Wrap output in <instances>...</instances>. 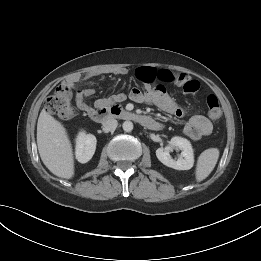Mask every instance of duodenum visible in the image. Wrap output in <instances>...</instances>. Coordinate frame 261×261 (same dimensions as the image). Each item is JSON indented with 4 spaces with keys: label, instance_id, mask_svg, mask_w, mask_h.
<instances>
[{
    "label": "duodenum",
    "instance_id": "1",
    "mask_svg": "<svg viewBox=\"0 0 261 261\" xmlns=\"http://www.w3.org/2000/svg\"><path fill=\"white\" fill-rule=\"evenodd\" d=\"M91 116L98 122L109 117H119L125 120L135 121L151 130H158L161 127L160 124L157 123L152 117L123 110L118 105H103L92 112Z\"/></svg>",
    "mask_w": 261,
    "mask_h": 261
}]
</instances>
